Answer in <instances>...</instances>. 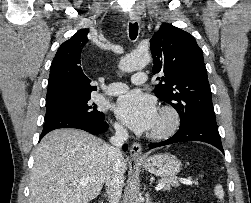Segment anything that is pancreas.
<instances>
[{
    "mask_svg": "<svg viewBox=\"0 0 251 203\" xmlns=\"http://www.w3.org/2000/svg\"><path fill=\"white\" fill-rule=\"evenodd\" d=\"M159 183H165L164 190H170L171 186L179 185V182L175 177L161 179L159 180Z\"/></svg>",
    "mask_w": 251,
    "mask_h": 203,
    "instance_id": "cf45deb5",
    "label": "pancreas"
}]
</instances>
